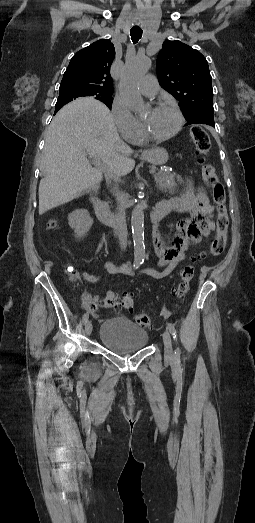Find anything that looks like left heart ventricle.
I'll return each instance as SVG.
<instances>
[{
	"label": "left heart ventricle",
	"mask_w": 255,
	"mask_h": 523,
	"mask_svg": "<svg viewBox=\"0 0 255 523\" xmlns=\"http://www.w3.org/2000/svg\"><path fill=\"white\" fill-rule=\"evenodd\" d=\"M141 123L149 136H165L173 132L178 124V118L170 106H162L156 110L149 109L141 116Z\"/></svg>",
	"instance_id": "obj_1"
}]
</instances>
